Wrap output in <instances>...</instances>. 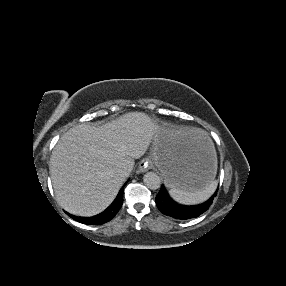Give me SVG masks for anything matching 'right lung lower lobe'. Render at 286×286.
I'll return each mask as SVG.
<instances>
[{"label":"right lung lower lobe","mask_w":286,"mask_h":286,"mask_svg":"<svg viewBox=\"0 0 286 286\" xmlns=\"http://www.w3.org/2000/svg\"><path fill=\"white\" fill-rule=\"evenodd\" d=\"M124 186L120 189V191H119L117 197L115 198V200L113 201V203L105 211H103L102 213H100L96 216L87 218V217L73 216L69 213H67V214L71 218H73L74 220H76L80 223H84V224L100 225V224L106 223V222L110 221L117 214V212L120 210V208L123 204Z\"/></svg>","instance_id":"98d812e1"}]
</instances>
